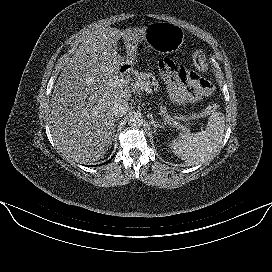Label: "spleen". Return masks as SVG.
<instances>
[{
  "label": "spleen",
  "instance_id": "3e777b00",
  "mask_svg": "<svg viewBox=\"0 0 272 272\" xmlns=\"http://www.w3.org/2000/svg\"><path fill=\"white\" fill-rule=\"evenodd\" d=\"M225 117L221 112L212 113L205 130L197 133H181L170 146L173 153L188 165H197L213 157L222 144Z\"/></svg>",
  "mask_w": 272,
  "mask_h": 272
}]
</instances>
